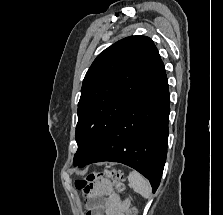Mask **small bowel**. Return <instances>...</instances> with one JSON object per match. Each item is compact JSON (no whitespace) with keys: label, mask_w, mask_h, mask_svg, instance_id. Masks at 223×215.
Segmentation results:
<instances>
[{"label":"small bowel","mask_w":223,"mask_h":215,"mask_svg":"<svg viewBox=\"0 0 223 215\" xmlns=\"http://www.w3.org/2000/svg\"><path fill=\"white\" fill-rule=\"evenodd\" d=\"M86 194L90 196L87 215H126L130 205L128 200L122 201L114 193L112 183L108 179L95 182Z\"/></svg>","instance_id":"c3829d8e"}]
</instances>
